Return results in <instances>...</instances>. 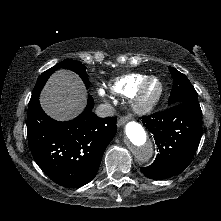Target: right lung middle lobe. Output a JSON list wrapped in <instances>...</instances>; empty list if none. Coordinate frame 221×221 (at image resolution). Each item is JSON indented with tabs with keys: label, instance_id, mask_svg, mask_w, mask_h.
<instances>
[{
	"label": "right lung middle lobe",
	"instance_id": "dd1d6c3e",
	"mask_svg": "<svg viewBox=\"0 0 221 221\" xmlns=\"http://www.w3.org/2000/svg\"><path fill=\"white\" fill-rule=\"evenodd\" d=\"M59 68L70 69V70L74 71L75 73L79 74L81 79H83L86 87L89 88L90 82L88 80V75L86 73V67L82 63H80L76 60L67 59V60H64V61L58 63L57 65H55L54 67L48 69L47 71L43 72L39 76V78L37 80V83L34 87L31 98H35L41 92L43 86L45 85V83L48 80V78L50 77V75L55 70H57Z\"/></svg>",
	"mask_w": 221,
	"mask_h": 221
}]
</instances>
